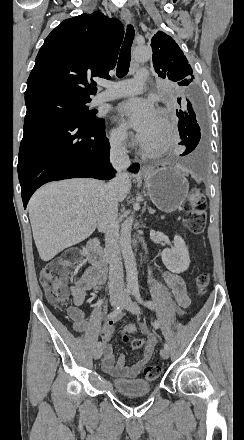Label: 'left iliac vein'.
Masks as SVG:
<instances>
[{"instance_id":"left-iliac-vein-1","label":"left iliac vein","mask_w":244,"mask_h":440,"mask_svg":"<svg viewBox=\"0 0 244 440\" xmlns=\"http://www.w3.org/2000/svg\"><path fill=\"white\" fill-rule=\"evenodd\" d=\"M126 300H127V301H126ZM122 304L124 305V308H125L126 310H128L129 312H131V313H133V314H136V315H139V314H140V309H139V307H138L137 304H136L134 301H132L130 298H129V299H126V298L123 297V299H122ZM160 356H161L163 359H168V358H169V351H168L167 349H165V348L161 349V350H160Z\"/></svg>"}]
</instances>
